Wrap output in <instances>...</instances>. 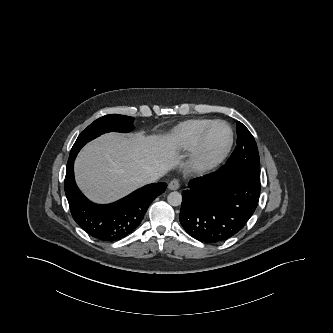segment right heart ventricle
<instances>
[{"mask_svg": "<svg viewBox=\"0 0 333 333\" xmlns=\"http://www.w3.org/2000/svg\"><path fill=\"white\" fill-rule=\"evenodd\" d=\"M212 122L213 120L205 118L184 121L172 129L169 138L178 148H193Z\"/></svg>", "mask_w": 333, "mask_h": 333, "instance_id": "1", "label": "right heart ventricle"}]
</instances>
